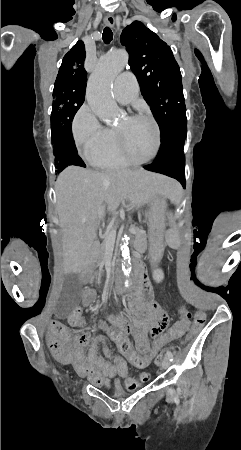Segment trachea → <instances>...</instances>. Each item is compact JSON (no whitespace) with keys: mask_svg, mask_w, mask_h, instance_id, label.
<instances>
[{"mask_svg":"<svg viewBox=\"0 0 241 450\" xmlns=\"http://www.w3.org/2000/svg\"><path fill=\"white\" fill-rule=\"evenodd\" d=\"M102 39L106 44L110 43L113 40V32L111 28L109 27L104 28Z\"/></svg>","mask_w":241,"mask_h":450,"instance_id":"3493384b","label":"trachea"}]
</instances>
